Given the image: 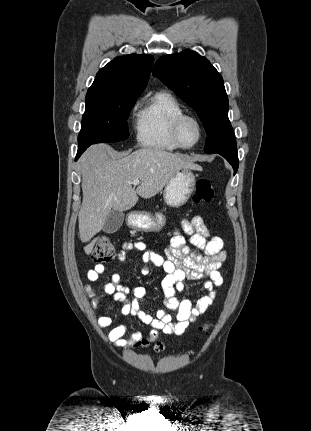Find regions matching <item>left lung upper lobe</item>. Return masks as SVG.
<instances>
[{
	"instance_id": "obj_1",
	"label": "left lung upper lobe",
	"mask_w": 311,
	"mask_h": 431,
	"mask_svg": "<svg viewBox=\"0 0 311 431\" xmlns=\"http://www.w3.org/2000/svg\"><path fill=\"white\" fill-rule=\"evenodd\" d=\"M154 73L197 112L207 133L206 153L237 151L223 78L205 57L190 50L165 55Z\"/></svg>"
}]
</instances>
